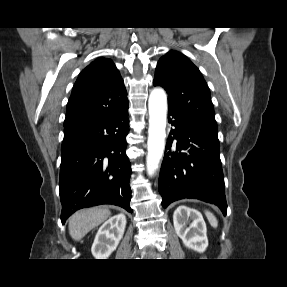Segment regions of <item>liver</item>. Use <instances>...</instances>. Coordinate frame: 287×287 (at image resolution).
<instances>
[{"mask_svg": "<svg viewBox=\"0 0 287 287\" xmlns=\"http://www.w3.org/2000/svg\"><path fill=\"white\" fill-rule=\"evenodd\" d=\"M108 208L95 207L80 210L69 219V234L80 241L89 231L103 223L110 216Z\"/></svg>", "mask_w": 287, "mask_h": 287, "instance_id": "obj_1", "label": "liver"}]
</instances>
